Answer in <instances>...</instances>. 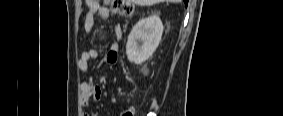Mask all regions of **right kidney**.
<instances>
[{"label": "right kidney", "instance_id": "ca27d5eb", "mask_svg": "<svg viewBox=\"0 0 283 116\" xmlns=\"http://www.w3.org/2000/svg\"><path fill=\"white\" fill-rule=\"evenodd\" d=\"M163 29V24L156 15L139 20L128 36L126 44L128 60L137 65L148 60L161 41Z\"/></svg>", "mask_w": 283, "mask_h": 116}]
</instances>
